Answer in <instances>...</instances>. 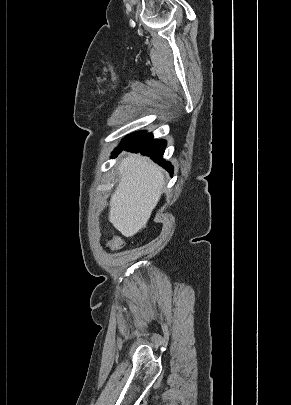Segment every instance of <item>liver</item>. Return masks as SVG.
<instances>
[{
	"instance_id": "1",
	"label": "liver",
	"mask_w": 291,
	"mask_h": 405,
	"mask_svg": "<svg viewBox=\"0 0 291 405\" xmlns=\"http://www.w3.org/2000/svg\"><path fill=\"white\" fill-rule=\"evenodd\" d=\"M119 184L110 199L109 221L126 237L137 234L160 200L163 170L146 157L130 154L118 166Z\"/></svg>"
}]
</instances>
